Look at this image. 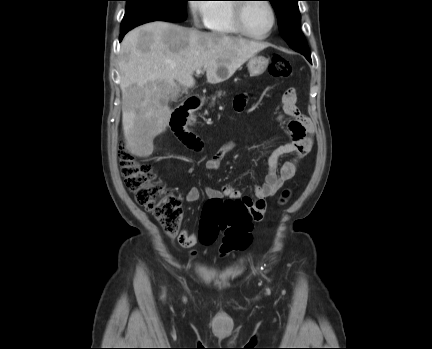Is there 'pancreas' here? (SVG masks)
<instances>
[{"label": "pancreas", "instance_id": "cf45deb5", "mask_svg": "<svg viewBox=\"0 0 432 349\" xmlns=\"http://www.w3.org/2000/svg\"><path fill=\"white\" fill-rule=\"evenodd\" d=\"M222 95H225V93H222V91H218V92H217V95L212 97V102H211V104H210V107H211V106H214V104H215V100H216V97L220 98Z\"/></svg>", "mask_w": 432, "mask_h": 349}]
</instances>
